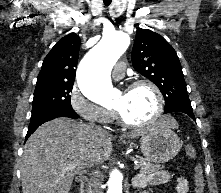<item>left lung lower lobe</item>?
Instances as JSON below:
<instances>
[{"label":"left lung lower lobe","mask_w":221,"mask_h":193,"mask_svg":"<svg viewBox=\"0 0 221 193\" xmlns=\"http://www.w3.org/2000/svg\"><path fill=\"white\" fill-rule=\"evenodd\" d=\"M170 112H182L190 116L193 120H196L193 114L192 107L190 105L175 106L165 110V113H170Z\"/></svg>","instance_id":"obj_1"}]
</instances>
